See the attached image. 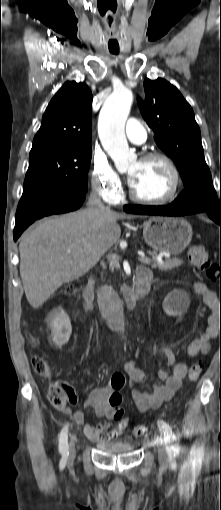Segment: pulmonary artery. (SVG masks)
<instances>
[{
    "label": "pulmonary artery",
    "mask_w": 221,
    "mask_h": 510,
    "mask_svg": "<svg viewBox=\"0 0 221 510\" xmlns=\"http://www.w3.org/2000/svg\"><path fill=\"white\" fill-rule=\"evenodd\" d=\"M125 133L127 138L136 144L144 143L147 138L145 127L139 120L135 118L128 119L125 127Z\"/></svg>",
    "instance_id": "obj_1"
}]
</instances>
